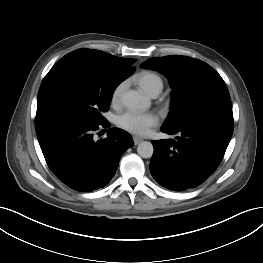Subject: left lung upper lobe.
Returning a JSON list of instances; mask_svg holds the SVG:
<instances>
[{"mask_svg": "<svg viewBox=\"0 0 263 263\" xmlns=\"http://www.w3.org/2000/svg\"><path fill=\"white\" fill-rule=\"evenodd\" d=\"M167 76L172 87L171 111L163 126L173 127L217 114L233 118L227 86L207 63L173 55L142 64Z\"/></svg>", "mask_w": 263, "mask_h": 263, "instance_id": "1", "label": "left lung upper lobe"}]
</instances>
